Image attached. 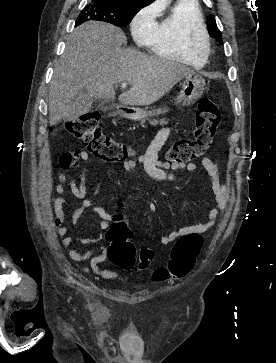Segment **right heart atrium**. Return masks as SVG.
Wrapping results in <instances>:
<instances>
[{"label": "right heart atrium", "mask_w": 276, "mask_h": 363, "mask_svg": "<svg viewBox=\"0 0 276 363\" xmlns=\"http://www.w3.org/2000/svg\"><path fill=\"white\" fill-rule=\"evenodd\" d=\"M158 8L151 5L140 10L132 19L131 32L134 39L139 43H146L156 26L155 17Z\"/></svg>", "instance_id": "d8ad5b80"}]
</instances>
